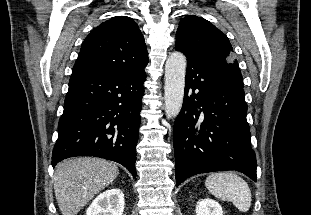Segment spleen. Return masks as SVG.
<instances>
[{"label":"spleen","mask_w":311,"mask_h":215,"mask_svg":"<svg viewBox=\"0 0 311 215\" xmlns=\"http://www.w3.org/2000/svg\"><path fill=\"white\" fill-rule=\"evenodd\" d=\"M205 186L215 197L232 202L241 212H247L251 206L247 182L233 172L212 173L206 178Z\"/></svg>","instance_id":"spleen-1"}]
</instances>
